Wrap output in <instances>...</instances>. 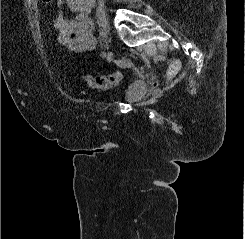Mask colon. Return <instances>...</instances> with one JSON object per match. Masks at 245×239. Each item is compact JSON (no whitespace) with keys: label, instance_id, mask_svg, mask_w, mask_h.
Here are the masks:
<instances>
[{"label":"colon","instance_id":"obj_1","mask_svg":"<svg viewBox=\"0 0 245 239\" xmlns=\"http://www.w3.org/2000/svg\"><path fill=\"white\" fill-rule=\"evenodd\" d=\"M43 3H50L52 0H41ZM180 68V63L177 60H172L168 63L167 66V76L173 77L177 74ZM122 79V75L119 72H114L108 75L102 76H92L85 75L83 76V81L85 84L93 89L98 90H108L116 86Z\"/></svg>","mask_w":245,"mask_h":239}]
</instances>
